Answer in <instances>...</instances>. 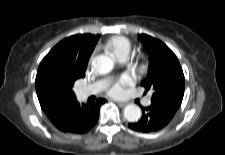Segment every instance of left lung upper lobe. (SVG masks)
<instances>
[{
	"instance_id": "obj_1",
	"label": "left lung upper lobe",
	"mask_w": 225,
	"mask_h": 155,
	"mask_svg": "<svg viewBox=\"0 0 225 155\" xmlns=\"http://www.w3.org/2000/svg\"><path fill=\"white\" fill-rule=\"evenodd\" d=\"M138 39L149 53L148 75L141 85L153 91L152 102H168L180 106L185 78L176 55L160 40L145 34Z\"/></svg>"
}]
</instances>
